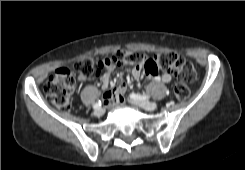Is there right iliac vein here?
Instances as JSON below:
<instances>
[{"mask_svg":"<svg viewBox=\"0 0 245 170\" xmlns=\"http://www.w3.org/2000/svg\"><path fill=\"white\" fill-rule=\"evenodd\" d=\"M96 113H97V115H101L103 113V109L99 108Z\"/></svg>","mask_w":245,"mask_h":170,"instance_id":"right-iliac-vein-1","label":"right iliac vein"}]
</instances>
